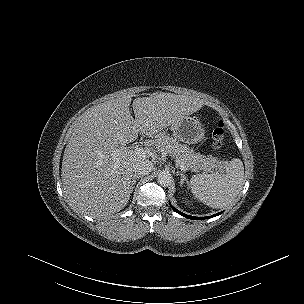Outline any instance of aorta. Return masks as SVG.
<instances>
[{
  "instance_id": "762f6f07",
  "label": "aorta",
  "mask_w": 304,
  "mask_h": 304,
  "mask_svg": "<svg viewBox=\"0 0 304 304\" xmlns=\"http://www.w3.org/2000/svg\"><path fill=\"white\" fill-rule=\"evenodd\" d=\"M157 180L161 186H168L172 181V177L168 171H161L158 174Z\"/></svg>"
}]
</instances>
